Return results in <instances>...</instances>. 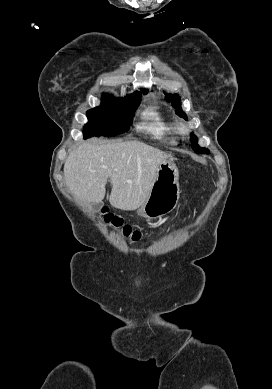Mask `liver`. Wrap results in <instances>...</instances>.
<instances>
[{"mask_svg":"<svg viewBox=\"0 0 272 389\" xmlns=\"http://www.w3.org/2000/svg\"><path fill=\"white\" fill-rule=\"evenodd\" d=\"M167 153L141 141H87L67 157L66 187L81 202L101 203L111 180L110 204L129 211L147 200L159 165Z\"/></svg>","mask_w":272,"mask_h":389,"instance_id":"1","label":"liver"}]
</instances>
